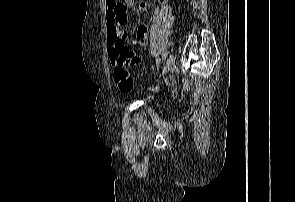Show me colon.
<instances>
[{"mask_svg":"<svg viewBox=\"0 0 295 202\" xmlns=\"http://www.w3.org/2000/svg\"><path fill=\"white\" fill-rule=\"evenodd\" d=\"M114 80L124 93L130 92L134 88V81L129 71V62L118 60L114 64Z\"/></svg>","mask_w":295,"mask_h":202,"instance_id":"1","label":"colon"}]
</instances>
